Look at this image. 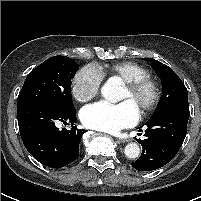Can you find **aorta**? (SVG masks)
<instances>
[{
  "label": "aorta",
  "mask_w": 201,
  "mask_h": 201,
  "mask_svg": "<svg viewBox=\"0 0 201 201\" xmlns=\"http://www.w3.org/2000/svg\"><path fill=\"white\" fill-rule=\"evenodd\" d=\"M118 93L119 87L110 80L101 88L102 96L110 102H116L118 100ZM124 153L126 157L135 159L140 155V147L137 143H129L125 146Z\"/></svg>",
  "instance_id": "aorta-1"
}]
</instances>
